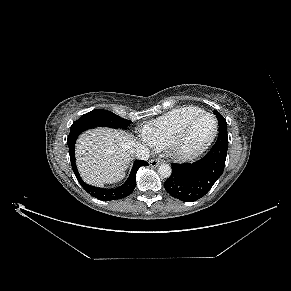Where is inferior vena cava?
Masks as SVG:
<instances>
[{
  "instance_id": "obj_1",
  "label": "inferior vena cava",
  "mask_w": 291,
  "mask_h": 291,
  "mask_svg": "<svg viewBox=\"0 0 291 291\" xmlns=\"http://www.w3.org/2000/svg\"><path fill=\"white\" fill-rule=\"evenodd\" d=\"M129 152L133 158L141 159V160H148L150 154L149 149L138 142H131L129 143Z\"/></svg>"
}]
</instances>
